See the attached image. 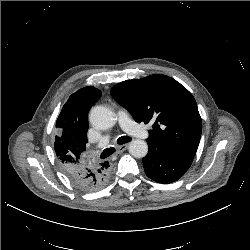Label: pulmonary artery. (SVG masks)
Masks as SVG:
<instances>
[{
    "label": "pulmonary artery",
    "instance_id": "obj_1",
    "mask_svg": "<svg viewBox=\"0 0 250 250\" xmlns=\"http://www.w3.org/2000/svg\"><path fill=\"white\" fill-rule=\"evenodd\" d=\"M118 120H119V123H120L122 129L125 132H127L135 137L142 138V139L149 136L148 131L143 126H141V125L135 123L133 120H131L125 111H122V110L119 111ZM108 140H109V136H104L100 140L99 145L106 144L108 142Z\"/></svg>",
    "mask_w": 250,
    "mask_h": 250
}]
</instances>
